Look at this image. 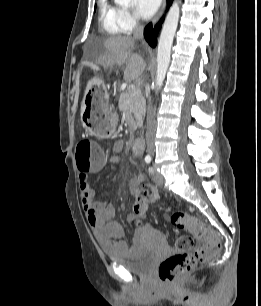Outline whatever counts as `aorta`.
<instances>
[{"label": "aorta", "mask_w": 261, "mask_h": 306, "mask_svg": "<svg viewBox=\"0 0 261 306\" xmlns=\"http://www.w3.org/2000/svg\"><path fill=\"white\" fill-rule=\"evenodd\" d=\"M131 1L132 0H115V2L121 6H129ZM179 16V1H175L166 16L158 42L156 74L157 89H160L162 86L170 64L171 47L178 26Z\"/></svg>", "instance_id": "aorta-1"}]
</instances>
